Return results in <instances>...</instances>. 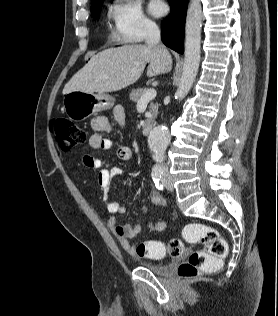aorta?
<instances>
[{
	"mask_svg": "<svg viewBox=\"0 0 278 316\" xmlns=\"http://www.w3.org/2000/svg\"><path fill=\"white\" fill-rule=\"evenodd\" d=\"M202 7L200 0H191L186 17L185 58L183 72L176 92L178 100H182L192 88L199 63L201 47ZM170 132L166 125L156 126L148 136V145L152 158L157 166L165 159V152L170 143Z\"/></svg>",
	"mask_w": 278,
	"mask_h": 316,
	"instance_id": "1",
	"label": "aorta"
}]
</instances>
